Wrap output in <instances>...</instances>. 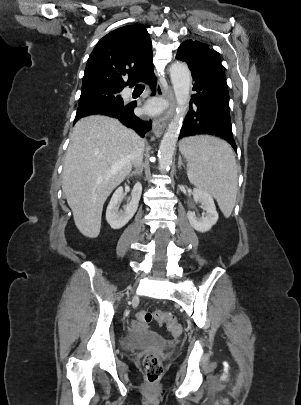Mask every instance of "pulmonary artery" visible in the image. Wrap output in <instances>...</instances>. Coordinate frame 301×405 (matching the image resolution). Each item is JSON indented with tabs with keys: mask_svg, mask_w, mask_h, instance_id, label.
<instances>
[{
	"mask_svg": "<svg viewBox=\"0 0 301 405\" xmlns=\"http://www.w3.org/2000/svg\"><path fill=\"white\" fill-rule=\"evenodd\" d=\"M130 93H131V90H130V89H125V90H124V94H125V95H129Z\"/></svg>",
	"mask_w": 301,
	"mask_h": 405,
	"instance_id": "1",
	"label": "pulmonary artery"
}]
</instances>
